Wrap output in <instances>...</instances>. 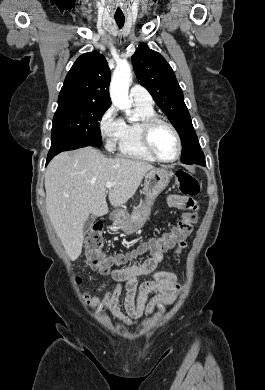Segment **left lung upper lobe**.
Returning <instances> with one entry per match:
<instances>
[{
    "label": "left lung upper lobe",
    "mask_w": 265,
    "mask_h": 390,
    "mask_svg": "<svg viewBox=\"0 0 265 390\" xmlns=\"http://www.w3.org/2000/svg\"><path fill=\"white\" fill-rule=\"evenodd\" d=\"M131 59L140 84L149 91L180 136L181 162L193 164L202 159L204 154L171 66L160 53L151 50L144 43L138 46Z\"/></svg>",
    "instance_id": "obj_1"
}]
</instances>
